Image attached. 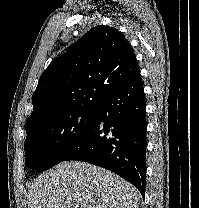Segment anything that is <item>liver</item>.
I'll list each match as a JSON object with an SVG mask.
<instances>
[{
	"mask_svg": "<svg viewBox=\"0 0 199 208\" xmlns=\"http://www.w3.org/2000/svg\"><path fill=\"white\" fill-rule=\"evenodd\" d=\"M140 194L118 175L81 161H64L30 184L28 208H138Z\"/></svg>",
	"mask_w": 199,
	"mask_h": 208,
	"instance_id": "obj_1",
	"label": "liver"
}]
</instances>
